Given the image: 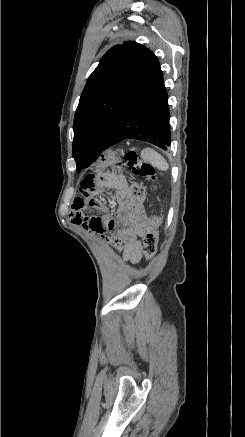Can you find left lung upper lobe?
I'll list each match as a JSON object with an SVG mask.
<instances>
[{
  "instance_id": "left-lung-upper-lobe-1",
  "label": "left lung upper lobe",
  "mask_w": 245,
  "mask_h": 437,
  "mask_svg": "<svg viewBox=\"0 0 245 437\" xmlns=\"http://www.w3.org/2000/svg\"><path fill=\"white\" fill-rule=\"evenodd\" d=\"M156 61L152 51L136 42L116 45L102 57L74 116L72 155L77 172L100 156L119 114Z\"/></svg>"
}]
</instances>
